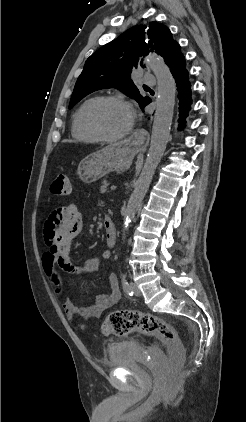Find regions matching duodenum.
I'll return each instance as SVG.
<instances>
[{
    "mask_svg": "<svg viewBox=\"0 0 246 422\" xmlns=\"http://www.w3.org/2000/svg\"><path fill=\"white\" fill-rule=\"evenodd\" d=\"M105 228V239L109 247H114L116 244V229L113 221L110 218H106L104 221Z\"/></svg>",
    "mask_w": 246,
    "mask_h": 422,
    "instance_id": "410a0bca",
    "label": "duodenum"
}]
</instances>
